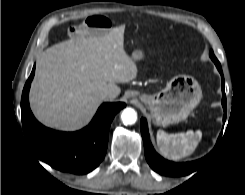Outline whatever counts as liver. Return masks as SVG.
Segmentation results:
<instances>
[{
	"label": "liver",
	"instance_id": "6515ba94",
	"mask_svg": "<svg viewBox=\"0 0 245 195\" xmlns=\"http://www.w3.org/2000/svg\"><path fill=\"white\" fill-rule=\"evenodd\" d=\"M125 25L99 37L70 39L51 46L37 60L30 90L31 109L44 125L74 131L93 117L109 91L116 98V83L137 77L138 69L124 50Z\"/></svg>",
	"mask_w": 245,
	"mask_h": 195
}]
</instances>
